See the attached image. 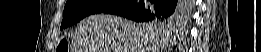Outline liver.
Masks as SVG:
<instances>
[{
  "mask_svg": "<svg viewBox=\"0 0 261 52\" xmlns=\"http://www.w3.org/2000/svg\"><path fill=\"white\" fill-rule=\"evenodd\" d=\"M168 46L166 29L135 23L114 15H91L78 26L72 52H163Z\"/></svg>",
  "mask_w": 261,
  "mask_h": 52,
  "instance_id": "1",
  "label": "liver"
}]
</instances>
